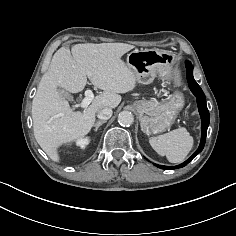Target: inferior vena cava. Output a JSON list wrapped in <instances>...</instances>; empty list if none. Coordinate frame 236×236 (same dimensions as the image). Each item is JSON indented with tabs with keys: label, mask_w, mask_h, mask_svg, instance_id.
<instances>
[{
	"label": "inferior vena cava",
	"mask_w": 236,
	"mask_h": 236,
	"mask_svg": "<svg viewBox=\"0 0 236 236\" xmlns=\"http://www.w3.org/2000/svg\"><path fill=\"white\" fill-rule=\"evenodd\" d=\"M112 109L110 107H103L102 109L98 110L97 117L101 120H107L112 116Z\"/></svg>",
	"instance_id": "602c4592"
}]
</instances>
